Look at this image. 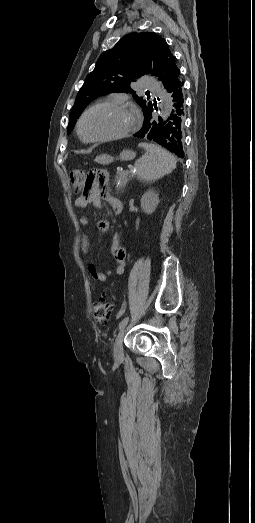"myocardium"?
Returning <instances> with one entry per match:
<instances>
[{
    "mask_svg": "<svg viewBox=\"0 0 255 523\" xmlns=\"http://www.w3.org/2000/svg\"><path fill=\"white\" fill-rule=\"evenodd\" d=\"M99 106H128V107H131L134 110V112H135V120H134V123H133L132 127L130 129H128L126 132L118 134V135H115V136H110V137H106V138H99V139H87V138H85L83 133H82L83 120H84L85 116L92 109H94L96 107H99ZM141 123H142V116L140 114L139 109L137 108V106L134 103L129 102V101H102V102H97V103L89 106L81 114V116H80V118L78 120V124H77V132H78L79 137L83 141H85V142H89V143H106V142L121 140V139H124V138L132 136L134 133L137 132V130L139 129Z\"/></svg>",
    "mask_w": 255,
    "mask_h": 523,
    "instance_id": "f54148a6",
    "label": "myocardium"
}]
</instances>
